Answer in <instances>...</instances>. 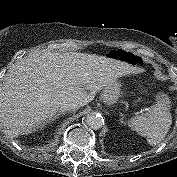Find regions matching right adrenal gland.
<instances>
[{"label":"right adrenal gland","mask_w":177,"mask_h":177,"mask_svg":"<svg viewBox=\"0 0 177 177\" xmlns=\"http://www.w3.org/2000/svg\"><path fill=\"white\" fill-rule=\"evenodd\" d=\"M64 114L63 112L59 111L52 119L49 120V122H54L60 115Z\"/></svg>","instance_id":"right-adrenal-gland-1"}]
</instances>
